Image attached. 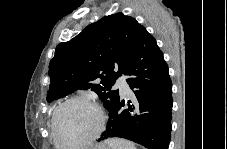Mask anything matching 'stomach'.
I'll use <instances>...</instances> for the list:
<instances>
[{
    "label": "stomach",
    "mask_w": 227,
    "mask_h": 149,
    "mask_svg": "<svg viewBox=\"0 0 227 149\" xmlns=\"http://www.w3.org/2000/svg\"><path fill=\"white\" fill-rule=\"evenodd\" d=\"M95 149H110V148L107 144H101V145H98V147Z\"/></svg>",
    "instance_id": "0dacf381"
}]
</instances>
